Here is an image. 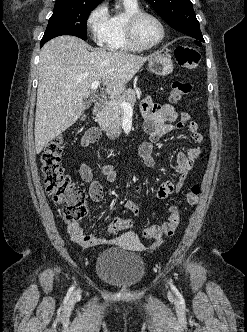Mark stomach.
<instances>
[{
  "instance_id": "1",
  "label": "stomach",
  "mask_w": 247,
  "mask_h": 332,
  "mask_svg": "<svg viewBox=\"0 0 247 332\" xmlns=\"http://www.w3.org/2000/svg\"><path fill=\"white\" fill-rule=\"evenodd\" d=\"M148 68L156 75L166 76L173 71V61L169 55L154 54L149 60Z\"/></svg>"
}]
</instances>
